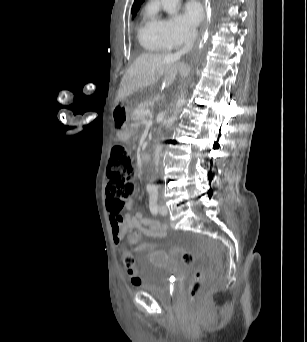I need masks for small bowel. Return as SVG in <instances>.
I'll return each instance as SVG.
<instances>
[{
	"instance_id": "small-bowel-1",
	"label": "small bowel",
	"mask_w": 307,
	"mask_h": 342,
	"mask_svg": "<svg viewBox=\"0 0 307 342\" xmlns=\"http://www.w3.org/2000/svg\"><path fill=\"white\" fill-rule=\"evenodd\" d=\"M130 201L128 206H130ZM127 225H136L137 229H144L145 233L150 234V238L160 239L165 237L167 226L156 220H150L143 216L141 212H137L134 216L126 214L119 218H110V227L112 240L115 244H120L126 236Z\"/></svg>"
}]
</instances>
